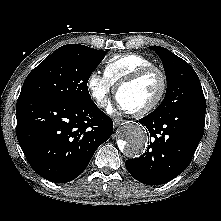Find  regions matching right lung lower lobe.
Here are the masks:
<instances>
[{"mask_svg": "<svg viewBox=\"0 0 221 221\" xmlns=\"http://www.w3.org/2000/svg\"><path fill=\"white\" fill-rule=\"evenodd\" d=\"M16 116L17 139L29 164L56 183L78 177L113 132V121L93 102L19 96Z\"/></svg>", "mask_w": 221, "mask_h": 221, "instance_id": "1", "label": "right lung lower lobe"}]
</instances>
